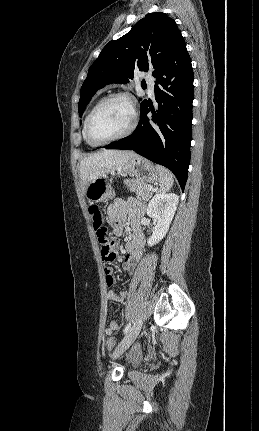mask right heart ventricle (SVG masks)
Here are the masks:
<instances>
[{"label":"right heart ventricle","instance_id":"obj_1","mask_svg":"<svg viewBox=\"0 0 259 431\" xmlns=\"http://www.w3.org/2000/svg\"><path fill=\"white\" fill-rule=\"evenodd\" d=\"M90 112H91V111H89V113L86 115V117H85V119H84L82 133H83V138H84V140L86 141V143H87L88 145H90V146H96V145L92 144V143L88 140V138H87V136H86V123H87V119H88V116H89Z\"/></svg>","mask_w":259,"mask_h":431}]
</instances>
